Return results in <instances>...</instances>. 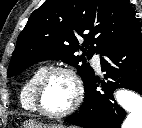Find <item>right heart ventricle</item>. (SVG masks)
Masks as SVG:
<instances>
[{
	"label": "right heart ventricle",
	"instance_id": "obj_1",
	"mask_svg": "<svg viewBox=\"0 0 142 128\" xmlns=\"http://www.w3.org/2000/svg\"><path fill=\"white\" fill-rule=\"evenodd\" d=\"M47 68L45 65L36 67L24 81L19 94L20 104L23 109L31 112L37 111L34 101V89L37 80Z\"/></svg>",
	"mask_w": 142,
	"mask_h": 128
}]
</instances>
